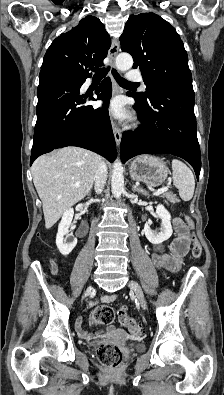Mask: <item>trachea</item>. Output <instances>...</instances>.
Here are the masks:
<instances>
[{
	"mask_svg": "<svg viewBox=\"0 0 224 395\" xmlns=\"http://www.w3.org/2000/svg\"><path fill=\"white\" fill-rule=\"evenodd\" d=\"M92 70L95 72L94 78L102 79L103 77L106 76L107 72L109 71V68L99 69L96 67V68H92ZM112 73H113L117 83L121 86L138 85L137 83L129 82L126 79H124L123 77H121L115 69H112Z\"/></svg>",
	"mask_w": 224,
	"mask_h": 395,
	"instance_id": "1",
	"label": "trachea"
}]
</instances>
